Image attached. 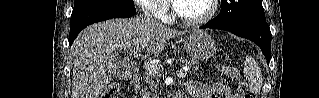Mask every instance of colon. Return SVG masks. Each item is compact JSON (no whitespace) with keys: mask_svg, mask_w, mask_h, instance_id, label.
I'll use <instances>...</instances> for the list:
<instances>
[{"mask_svg":"<svg viewBox=\"0 0 319 98\" xmlns=\"http://www.w3.org/2000/svg\"><path fill=\"white\" fill-rule=\"evenodd\" d=\"M219 70L224 75L231 77L233 79H237L239 77L238 72L230 66L221 65V66H219ZM238 90L240 91L242 98H254L255 97L253 91L244 82L239 83ZM119 92H120L119 85L117 83H112L111 85H109L105 89V91L102 95V98H118Z\"/></svg>","mask_w":319,"mask_h":98,"instance_id":"obj_1","label":"colon"}]
</instances>
